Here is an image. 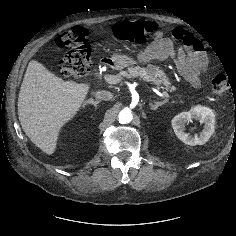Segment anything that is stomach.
Listing matches in <instances>:
<instances>
[{"mask_svg": "<svg viewBox=\"0 0 236 236\" xmlns=\"http://www.w3.org/2000/svg\"><path fill=\"white\" fill-rule=\"evenodd\" d=\"M113 65L117 69H123L137 63L135 59L127 55L114 54L111 58Z\"/></svg>", "mask_w": 236, "mask_h": 236, "instance_id": "obj_1", "label": "stomach"}]
</instances>
